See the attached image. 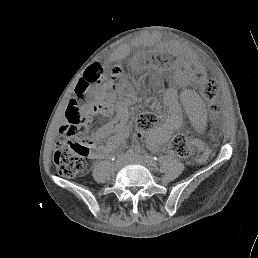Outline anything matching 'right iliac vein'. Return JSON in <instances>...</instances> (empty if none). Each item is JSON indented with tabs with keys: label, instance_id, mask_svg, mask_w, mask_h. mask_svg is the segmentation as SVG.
Instances as JSON below:
<instances>
[{
	"label": "right iliac vein",
	"instance_id": "63e3f726",
	"mask_svg": "<svg viewBox=\"0 0 258 258\" xmlns=\"http://www.w3.org/2000/svg\"><path fill=\"white\" fill-rule=\"evenodd\" d=\"M123 163H124L123 159H117V160H116V166H117V168L122 167V166H123Z\"/></svg>",
	"mask_w": 258,
	"mask_h": 258
}]
</instances>
